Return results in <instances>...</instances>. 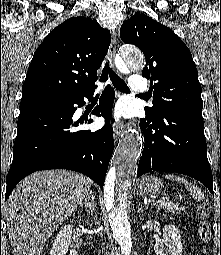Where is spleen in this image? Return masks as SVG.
<instances>
[{
  "instance_id": "3e777b00",
  "label": "spleen",
  "mask_w": 221,
  "mask_h": 255,
  "mask_svg": "<svg viewBox=\"0 0 221 255\" xmlns=\"http://www.w3.org/2000/svg\"><path fill=\"white\" fill-rule=\"evenodd\" d=\"M165 177L167 179H170V180H175V181H178V182H181L185 185L186 189L190 192V194L198 201H201L203 200V195H202V192L199 188H197L195 185L189 183L187 180H185L184 178H181V177H177L175 175H171V174H168V175H165Z\"/></svg>"
}]
</instances>
